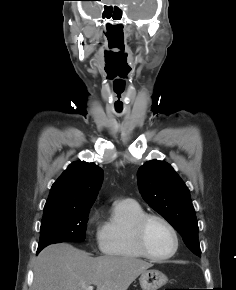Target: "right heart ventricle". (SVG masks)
I'll return each instance as SVG.
<instances>
[{
    "label": "right heart ventricle",
    "mask_w": 236,
    "mask_h": 290,
    "mask_svg": "<svg viewBox=\"0 0 236 290\" xmlns=\"http://www.w3.org/2000/svg\"><path fill=\"white\" fill-rule=\"evenodd\" d=\"M145 214L142 206L133 200L118 201L111 217L102 226L98 242L100 250L107 256L124 259H140L144 256L137 248L133 227Z\"/></svg>",
    "instance_id": "1"
}]
</instances>
